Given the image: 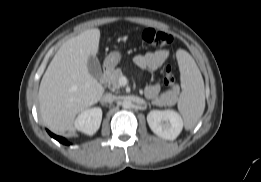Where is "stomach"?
I'll use <instances>...</instances> for the list:
<instances>
[{
  "mask_svg": "<svg viewBox=\"0 0 261 182\" xmlns=\"http://www.w3.org/2000/svg\"><path fill=\"white\" fill-rule=\"evenodd\" d=\"M121 61V53L118 51L111 52L104 60V66L107 69H113Z\"/></svg>",
  "mask_w": 261,
  "mask_h": 182,
  "instance_id": "stomach-1",
  "label": "stomach"
}]
</instances>
